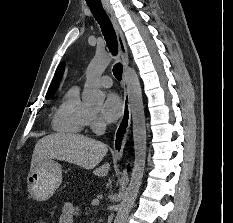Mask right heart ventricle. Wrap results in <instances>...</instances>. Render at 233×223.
Segmentation results:
<instances>
[{
  "mask_svg": "<svg viewBox=\"0 0 233 223\" xmlns=\"http://www.w3.org/2000/svg\"><path fill=\"white\" fill-rule=\"evenodd\" d=\"M89 113V108L80 99L79 87L72 86L58 101L52 114L51 127L58 133H81L88 125Z\"/></svg>",
  "mask_w": 233,
  "mask_h": 223,
  "instance_id": "right-heart-ventricle-1",
  "label": "right heart ventricle"
}]
</instances>
